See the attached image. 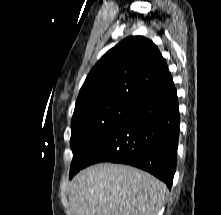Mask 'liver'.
Wrapping results in <instances>:
<instances>
[{"label": "liver", "mask_w": 221, "mask_h": 215, "mask_svg": "<svg viewBox=\"0 0 221 215\" xmlns=\"http://www.w3.org/2000/svg\"><path fill=\"white\" fill-rule=\"evenodd\" d=\"M166 185L137 168L101 163L80 171L70 185L75 215H158Z\"/></svg>", "instance_id": "1"}]
</instances>
